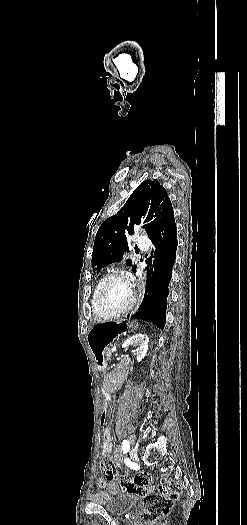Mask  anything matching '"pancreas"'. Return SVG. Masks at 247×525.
I'll return each instance as SVG.
<instances>
[{
	"label": "pancreas",
	"instance_id": "pancreas-1",
	"mask_svg": "<svg viewBox=\"0 0 247 525\" xmlns=\"http://www.w3.org/2000/svg\"><path fill=\"white\" fill-rule=\"evenodd\" d=\"M110 350L111 349H109V348L104 349V355L102 356V359L104 361H110L112 359V356L110 355L111 354Z\"/></svg>",
	"mask_w": 247,
	"mask_h": 525
}]
</instances>
